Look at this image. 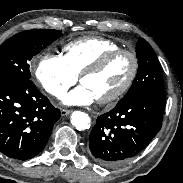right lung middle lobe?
I'll return each instance as SVG.
<instances>
[{
    "label": "right lung middle lobe",
    "mask_w": 183,
    "mask_h": 183,
    "mask_svg": "<svg viewBox=\"0 0 183 183\" xmlns=\"http://www.w3.org/2000/svg\"><path fill=\"white\" fill-rule=\"evenodd\" d=\"M62 35L58 30L20 32L0 46V81L30 79L29 62L33 56Z\"/></svg>",
    "instance_id": "1"
}]
</instances>
